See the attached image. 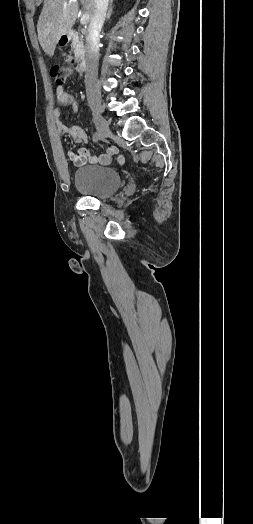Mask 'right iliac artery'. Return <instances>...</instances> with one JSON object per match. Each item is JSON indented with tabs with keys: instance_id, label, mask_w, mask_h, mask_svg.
<instances>
[{
	"instance_id": "82829eb1",
	"label": "right iliac artery",
	"mask_w": 253,
	"mask_h": 524,
	"mask_svg": "<svg viewBox=\"0 0 253 524\" xmlns=\"http://www.w3.org/2000/svg\"><path fill=\"white\" fill-rule=\"evenodd\" d=\"M100 137L101 135L99 134V132H95L93 135V141L98 142L100 140Z\"/></svg>"
}]
</instances>
